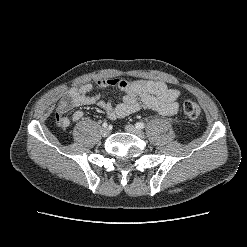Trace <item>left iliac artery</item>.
<instances>
[{
  "label": "left iliac artery",
  "instance_id": "44dca946",
  "mask_svg": "<svg viewBox=\"0 0 247 247\" xmlns=\"http://www.w3.org/2000/svg\"><path fill=\"white\" fill-rule=\"evenodd\" d=\"M135 127L138 129H144L145 128V124L143 122H137L135 124Z\"/></svg>",
  "mask_w": 247,
  "mask_h": 247
}]
</instances>
